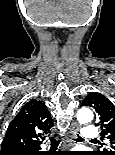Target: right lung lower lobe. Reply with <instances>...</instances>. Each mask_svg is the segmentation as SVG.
Listing matches in <instances>:
<instances>
[{
  "label": "right lung lower lobe",
  "mask_w": 115,
  "mask_h": 155,
  "mask_svg": "<svg viewBox=\"0 0 115 155\" xmlns=\"http://www.w3.org/2000/svg\"><path fill=\"white\" fill-rule=\"evenodd\" d=\"M39 150H40V147L35 149H27V150L20 151L18 153H14L12 155H45Z\"/></svg>",
  "instance_id": "obj_1"
}]
</instances>
